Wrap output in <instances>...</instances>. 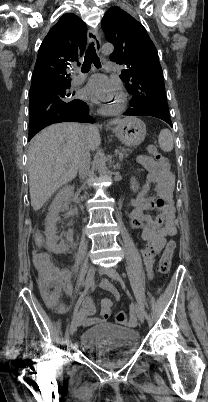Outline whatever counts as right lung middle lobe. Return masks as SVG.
Returning a JSON list of instances; mask_svg holds the SVG:
<instances>
[{
    "label": "right lung middle lobe",
    "instance_id": "1",
    "mask_svg": "<svg viewBox=\"0 0 208 402\" xmlns=\"http://www.w3.org/2000/svg\"><path fill=\"white\" fill-rule=\"evenodd\" d=\"M71 79L46 82L30 90V120L48 113L68 112L78 108L81 100L75 99V92L69 90Z\"/></svg>",
    "mask_w": 208,
    "mask_h": 402
}]
</instances>
